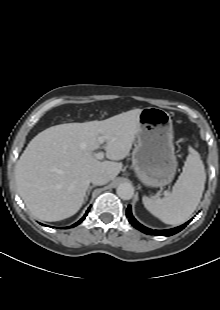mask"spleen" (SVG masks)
Instances as JSON below:
<instances>
[{
  "mask_svg": "<svg viewBox=\"0 0 220 310\" xmlns=\"http://www.w3.org/2000/svg\"><path fill=\"white\" fill-rule=\"evenodd\" d=\"M205 180L206 174L200 155L190 148L183 171L173 186L172 192L157 199L144 196L143 204L152 215L166 224L184 223L200 202Z\"/></svg>",
  "mask_w": 220,
  "mask_h": 310,
  "instance_id": "3e777b00",
  "label": "spleen"
}]
</instances>
